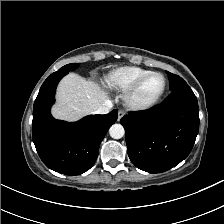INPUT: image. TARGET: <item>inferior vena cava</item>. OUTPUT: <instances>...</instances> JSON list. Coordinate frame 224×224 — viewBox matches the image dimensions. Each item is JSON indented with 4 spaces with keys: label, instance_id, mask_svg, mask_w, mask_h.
Listing matches in <instances>:
<instances>
[{
    "label": "inferior vena cava",
    "instance_id": "602c4592",
    "mask_svg": "<svg viewBox=\"0 0 224 224\" xmlns=\"http://www.w3.org/2000/svg\"><path fill=\"white\" fill-rule=\"evenodd\" d=\"M113 104L110 100H107L102 106L94 111L95 114H107L112 109Z\"/></svg>",
    "mask_w": 224,
    "mask_h": 224
}]
</instances>
